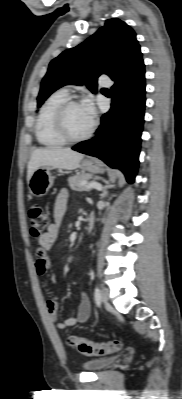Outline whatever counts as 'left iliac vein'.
<instances>
[{"label":"left iliac vein","mask_w":182,"mask_h":399,"mask_svg":"<svg viewBox=\"0 0 182 399\" xmlns=\"http://www.w3.org/2000/svg\"><path fill=\"white\" fill-rule=\"evenodd\" d=\"M101 298H102V301H103L104 306H105V307H109V306H110V303H109V293H108V291H107L106 289H103V290H102Z\"/></svg>","instance_id":"1"}]
</instances>
